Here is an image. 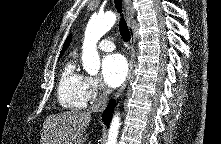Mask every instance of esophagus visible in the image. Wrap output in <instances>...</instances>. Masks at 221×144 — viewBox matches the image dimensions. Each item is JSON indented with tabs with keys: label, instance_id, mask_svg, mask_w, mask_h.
<instances>
[{
	"label": "esophagus",
	"instance_id": "34e87169",
	"mask_svg": "<svg viewBox=\"0 0 221 144\" xmlns=\"http://www.w3.org/2000/svg\"><path fill=\"white\" fill-rule=\"evenodd\" d=\"M123 2H124L125 10H126L127 23H128L129 31H130V35H131L132 54H131V57H130V60H129V69H128L127 77H126L124 83L122 84V86L115 93L114 98H118L122 94V92L124 91L126 86L128 85V82L131 78V74H132V71H133L134 56H135V51H134L135 34H134V26H133V18H134L135 11H134V8L132 6V1L131 0H123Z\"/></svg>",
	"mask_w": 221,
	"mask_h": 144
}]
</instances>
